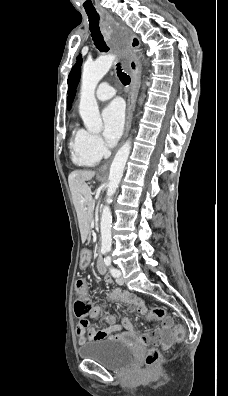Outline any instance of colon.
<instances>
[{
  "label": "colon",
  "mask_w": 228,
  "mask_h": 396,
  "mask_svg": "<svg viewBox=\"0 0 228 396\" xmlns=\"http://www.w3.org/2000/svg\"><path fill=\"white\" fill-rule=\"evenodd\" d=\"M76 301L74 303V311L76 316L79 318L78 327L86 328L88 326V320L86 315L93 309L91 301L88 297V289L84 280H78L75 284ZM147 318L149 320H161L168 324L169 319L166 311L163 308L155 307L151 309ZM185 336V329L182 325H175L173 328V338L175 341L183 340ZM159 351L157 349H152L146 356L145 363L147 366L154 365L159 359Z\"/></svg>",
  "instance_id": "colon-1"
}]
</instances>
